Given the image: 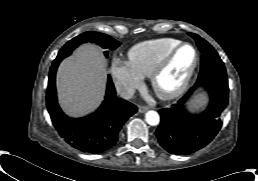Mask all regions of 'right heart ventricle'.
I'll return each mask as SVG.
<instances>
[{
    "label": "right heart ventricle",
    "mask_w": 258,
    "mask_h": 181,
    "mask_svg": "<svg viewBox=\"0 0 258 181\" xmlns=\"http://www.w3.org/2000/svg\"><path fill=\"white\" fill-rule=\"evenodd\" d=\"M180 42L174 38H159L140 42L129 50L127 64L141 78L150 77L160 59Z\"/></svg>",
    "instance_id": "1"
}]
</instances>
